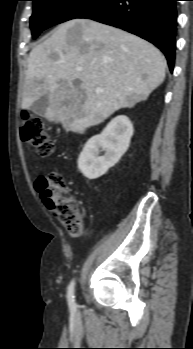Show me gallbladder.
Instances as JSON below:
<instances>
[{
  "instance_id": "gallbladder-1",
  "label": "gallbladder",
  "mask_w": 193,
  "mask_h": 349,
  "mask_svg": "<svg viewBox=\"0 0 193 349\" xmlns=\"http://www.w3.org/2000/svg\"><path fill=\"white\" fill-rule=\"evenodd\" d=\"M49 105L48 97L45 95L36 100L30 107L29 110L36 115L44 116Z\"/></svg>"
}]
</instances>
